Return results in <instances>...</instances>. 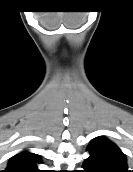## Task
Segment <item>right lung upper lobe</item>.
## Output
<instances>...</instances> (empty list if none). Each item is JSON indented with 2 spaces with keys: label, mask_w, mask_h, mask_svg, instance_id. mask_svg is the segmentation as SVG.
<instances>
[{
  "label": "right lung upper lobe",
  "mask_w": 133,
  "mask_h": 172,
  "mask_svg": "<svg viewBox=\"0 0 133 172\" xmlns=\"http://www.w3.org/2000/svg\"><path fill=\"white\" fill-rule=\"evenodd\" d=\"M41 162L38 155L23 151L13 156L8 163L5 172H41L37 164Z\"/></svg>",
  "instance_id": "obj_1"
}]
</instances>
